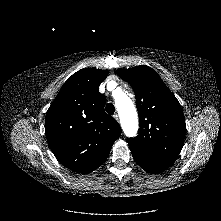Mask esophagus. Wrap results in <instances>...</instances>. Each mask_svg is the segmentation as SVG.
Segmentation results:
<instances>
[{
    "instance_id": "34e87169",
    "label": "esophagus",
    "mask_w": 221,
    "mask_h": 221,
    "mask_svg": "<svg viewBox=\"0 0 221 221\" xmlns=\"http://www.w3.org/2000/svg\"><path fill=\"white\" fill-rule=\"evenodd\" d=\"M113 117L115 118V120H117V121L119 120L118 114H114Z\"/></svg>"
}]
</instances>
